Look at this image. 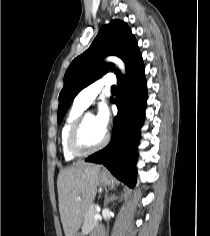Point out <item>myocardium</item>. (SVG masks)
<instances>
[{
	"mask_svg": "<svg viewBox=\"0 0 210 236\" xmlns=\"http://www.w3.org/2000/svg\"><path fill=\"white\" fill-rule=\"evenodd\" d=\"M90 115L88 112H82L73 122L70 127L68 138H67V146L69 151L77 156L87 155L99 151L102 149L109 140V134L105 132L104 137L100 143L95 146H87L83 143L82 140V130L84 126V122L87 116Z\"/></svg>",
	"mask_w": 210,
	"mask_h": 236,
	"instance_id": "f54148a6",
	"label": "myocardium"
}]
</instances>
